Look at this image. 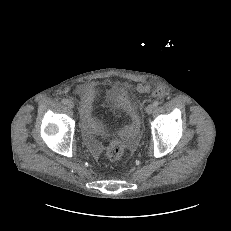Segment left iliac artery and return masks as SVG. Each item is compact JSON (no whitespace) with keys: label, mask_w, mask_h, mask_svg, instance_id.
<instances>
[{"label":"left iliac artery","mask_w":231,"mask_h":231,"mask_svg":"<svg viewBox=\"0 0 231 231\" xmlns=\"http://www.w3.org/2000/svg\"><path fill=\"white\" fill-rule=\"evenodd\" d=\"M158 105H159V102H158V101H154V102H153V106H154V107H157Z\"/></svg>","instance_id":"left-iliac-artery-1"}]
</instances>
